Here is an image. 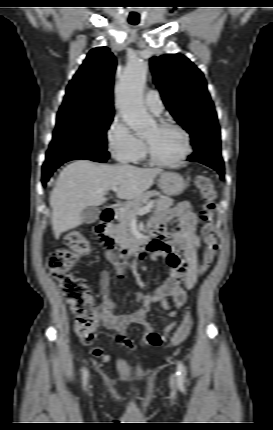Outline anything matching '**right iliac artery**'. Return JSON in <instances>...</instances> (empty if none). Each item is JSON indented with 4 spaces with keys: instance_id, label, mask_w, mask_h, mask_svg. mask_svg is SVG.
<instances>
[{
    "instance_id": "82829eb1",
    "label": "right iliac artery",
    "mask_w": 273,
    "mask_h": 430,
    "mask_svg": "<svg viewBox=\"0 0 273 430\" xmlns=\"http://www.w3.org/2000/svg\"><path fill=\"white\" fill-rule=\"evenodd\" d=\"M87 378H88V371H87V369H84L83 370V376H82L84 385L87 383Z\"/></svg>"
}]
</instances>
